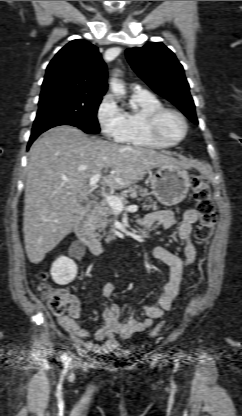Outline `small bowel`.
<instances>
[{
	"mask_svg": "<svg viewBox=\"0 0 242 416\" xmlns=\"http://www.w3.org/2000/svg\"><path fill=\"white\" fill-rule=\"evenodd\" d=\"M197 219L198 214L195 210H188L180 221L170 210H159L147 214L141 220V226L146 230L162 229L176 233L183 242L184 258H180L162 246L154 248V257L169 267L170 274L162 293L151 304L144 306V317L141 320L120 319L119 306L111 301L115 292V285L112 282H106L103 285L102 294L107 304L103 311L102 327L95 332L79 327L76 319L81 316V305L76 298L71 297L69 314L58 317L60 326L69 334L70 339L89 352L110 354L118 347L117 336L126 339L134 333L144 332L152 326L155 319L170 310L178 295L185 269L195 261L196 250L192 243L191 232Z\"/></svg>",
	"mask_w": 242,
	"mask_h": 416,
	"instance_id": "c3829d8e",
	"label": "small bowel"
}]
</instances>
